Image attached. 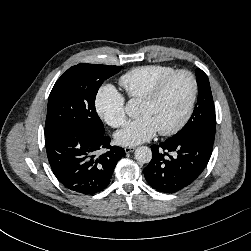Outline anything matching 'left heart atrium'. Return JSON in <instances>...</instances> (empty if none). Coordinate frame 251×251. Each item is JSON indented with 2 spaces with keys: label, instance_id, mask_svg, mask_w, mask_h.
Segmentation results:
<instances>
[{
  "label": "left heart atrium",
  "instance_id": "left-heart-atrium-1",
  "mask_svg": "<svg viewBox=\"0 0 251 251\" xmlns=\"http://www.w3.org/2000/svg\"><path fill=\"white\" fill-rule=\"evenodd\" d=\"M157 128L148 116H140L129 121L122 130L116 133L115 138L122 146H134L151 139Z\"/></svg>",
  "mask_w": 251,
  "mask_h": 251
}]
</instances>
